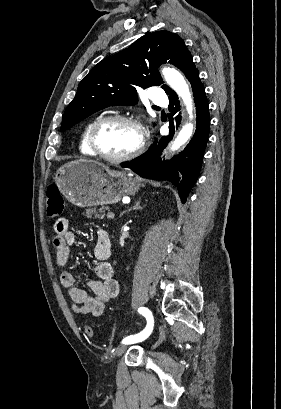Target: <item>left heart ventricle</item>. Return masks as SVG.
<instances>
[{
  "label": "left heart ventricle",
  "mask_w": 281,
  "mask_h": 409,
  "mask_svg": "<svg viewBox=\"0 0 281 409\" xmlns=\"http://www.w3.org/2000/svg\"><path fill=\"white\" fill-rule=\"evenodd\" d=\"M140 135L131 125L112 122L105 125L99 134L101 151L112 157L122 156L133 151L139 144Z\"/></svg>",
  "instance_id": "b2bd125f"
}]
</instances>
